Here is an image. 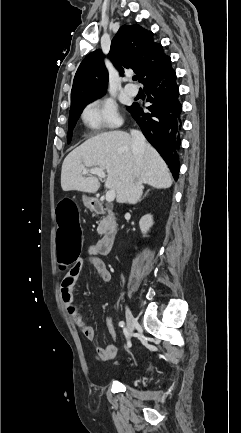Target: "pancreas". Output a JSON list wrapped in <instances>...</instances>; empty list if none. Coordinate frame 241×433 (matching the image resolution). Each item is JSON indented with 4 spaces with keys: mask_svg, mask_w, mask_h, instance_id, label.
Segmentation results:
<instances>
[{
    "mask_svg": "<svg viewBox=\"0 0 241 433\" xmlns=\"http://www.w3.org/2000/svg\"><path fill=\"white\" fill-rule=\"evenodd\" d=\"M105 230H106V224H105V219H103L98 225L97 232L98 234L102 235L105 232Z\"/></svg>",
    "mask_w": 241,
    "mask_h": 433,
    "instance_id": "pancreas-1",
    "label": "pancreas"
}]
</instances>
